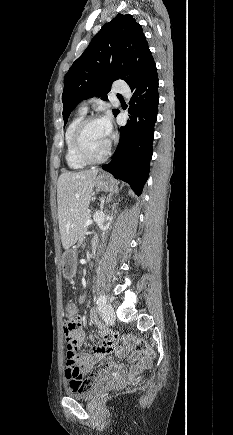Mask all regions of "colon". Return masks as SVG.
Here are the masks:
<instances>
[{"mask_svg":"<svg viewBox=\"0 0 233 435\" xmlns=\"http://www.w3.org/2000/svg\"><path fill=\"white\" fill-rule=\"evenodd\" d=\"M65 312L68 316V319L64 325V337H65V359L68 366L73 367L77 371L80 372L77 382L74 385H70L69 388L74 391H84L89 388L93 384L90 379H81L82 369L78 365L77 359V338L80 324V316L77 312L70 306V304L65 305ZM118 342V337L115 333L108 331L107 338L104 343V348L106 351H113L116 344ZM123 342L126 345H132L134 349L147 356L148 358H153L154 352L148 346L145 340L141 338H137L134 336H127L123 338ZM139 381L144 379V376H140Z\"/></svg>","mask_w":233,"mask_h":435,"instance_id":"obj_1","label":"colon"}]
</instances>
